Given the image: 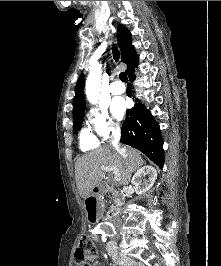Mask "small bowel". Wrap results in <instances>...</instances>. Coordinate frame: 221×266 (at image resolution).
<instances>
[{"label": "small bowel", "instance_id": "1", "mask_svg": "<svg viewBox=\"0 0 221 266\" xmlns=\"http://www.w3.org/2000/svg\"><path fill=\"white\" fill-rule=\"evenodd\" d=\"M108 255L113 260L114 264L118 266H145L144 263L134 261L133 259L120 254L117 250L108 249Z\"/></svg>", "mask_w": 221, "mask_h": 266}]
</instances>
